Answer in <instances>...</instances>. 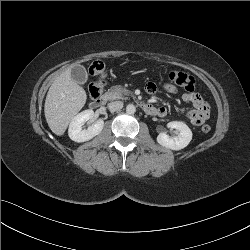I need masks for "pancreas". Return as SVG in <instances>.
<instances>
[{"mask_svg":"<svg viewBox=\"0 0 250 250\" xmlns=\"http://www.w3.org/2000/svg\"><path fill=\"white\" fill-rule=\"evenodd\" d=\"M107 94L111 100H114V99L126 100L128 98L127 95L132 94V92L123 88L122 86L116 85V86H112L108 90Z\"/></svg>","mask_w":250,"mask_h":250,"instance_id":"obj_1","label":"pancreas"}]
</instances>
